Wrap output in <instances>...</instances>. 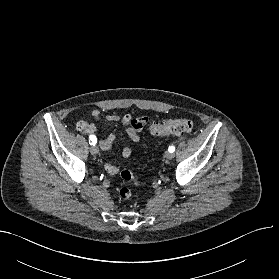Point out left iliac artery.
<instances>
[{
  "label": "left iliac artery",
  "instance_id": "left-iliac-artery-1",
  "mask_svg": "<svg viewBox=\"0 0 279 279\" xmlns=\"http://www.w3.org/2000/svg\"><path fill=\"white\" fill-rule=\"evenodd\" d=\"M168 150H169V152H174L175 151V147L174 146H170Z\"/></svg>",
  "mask_w": 279,
  "mask_h": 279
}]
</instances>
